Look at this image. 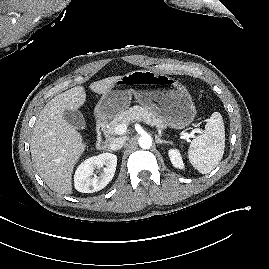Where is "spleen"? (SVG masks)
<instances>
[{
	"instance_id": "1",
	"label": "spleen",
	"mask_w": 269,
	"mask_h": 269,
	"mask_svg": "<svg viewBox=\"0 0 269 269\" xmlns=\"http://www.w3.org/2000/svg\"><path fill=\"white\" fill-rule=\"evenodd\" d=\"M225 148V128L219 112L212 113L204 132L191 142L189 162L202 174L214 170L221 161Z\"/></svg>"
}]
</instances>
